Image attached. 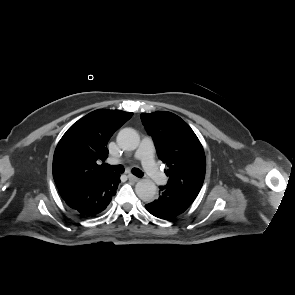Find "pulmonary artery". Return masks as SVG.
I'll return each mask as SVG.
<instances>
[{
	"mask_svg": "<svg viewBox=\"0 0 295 295\" xmlns=\"http://www.w3.org/2000/svg\"><path fill=\"white\" fill-rule=\"evenodd\" d=\"M135 158L141 160L146 173L156 184H164L166 182V176L159 170L154 161V145L150 137L142 139L135 153Z\"/></svg>",
	"mask_w": 295,
	"mask_h": 295,
	"instance_id": "obj_1",
	"label": "pulmonary artery"
}]
</instances>
